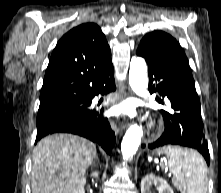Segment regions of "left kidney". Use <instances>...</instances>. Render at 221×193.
<instances>
[{"label":"left kidney","mask_w":221,"mask_h":193,"mask_svg":"<svg viewBox=\"0 0 221 193\" xmlns=\"http://www.w3.org/2000/svg\"><path fill=\"white\" fill-rule=\"evenodd\" d=\"M152 185L156 186L159 193H174L165 180L153 174H148L141 180V193H151Z\"/></svg>","instance_id":"obj_1"}]
</instances>
